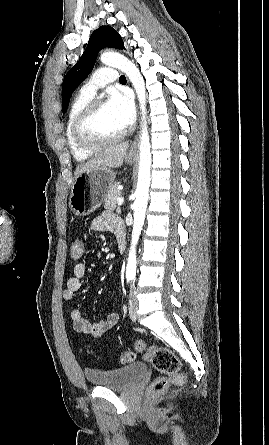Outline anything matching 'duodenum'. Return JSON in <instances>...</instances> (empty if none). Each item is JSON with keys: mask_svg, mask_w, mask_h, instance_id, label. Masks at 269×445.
I'll return each instance as SVG.
<instances>
[{"mask_svg": "<svg viewBox=\"0 0 269 445\" xmlns=\"http://www.w3.org/2000/svg\"><path fill=\"white\" fill-rule=\"evenodd\" d=\"M118 250L120 253H124L126 250V233L125 231H120L117 235Z\"/></svg>", "mask_w": 269, "mask_h": 445, "instance_id": "obj_1", "label": "duodenum"}]
</instances>
